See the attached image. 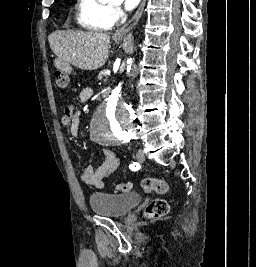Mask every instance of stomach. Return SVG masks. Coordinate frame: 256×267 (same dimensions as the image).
I'll list each match as a JSON object with an SVG mask.
<instances>
[{
	"instance_id": "obj_1",
	"label": "stomach",
	"mask_w": 256,
	"mask_h": 267,
	"mask_svg": "<svg viewBox=\"0 0 256 267\" xmlns=\"http://www.w3.org/2000/svg\"><path fill=\"white\" fill-rule=\"evenodd\" d=\"M117 40H121V38H118ZM53 67H70V62H53Z\"/></svg>"
}]
</instances>
